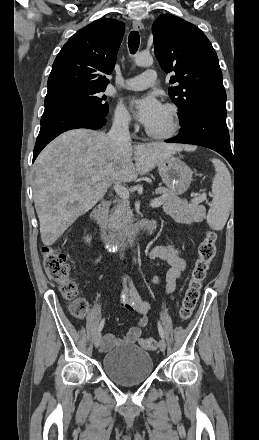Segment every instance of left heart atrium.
<instances>
[{
	"mask_svg": "<svg viewBox=\"0 0 259 440\" xmlns=\"http://www.w3.org/2000/svg\"><path fill=\"white\" fill-rule=\"evenodd\" d=\"M130 105L136 119L146 127L152 125L160 117L164 108L153 95L132 98Z\"/></svg>",
	"mask_w": 259,
	"mask_h": 440,
	"instance_id": "obj_1",
	"label": "left heart atrium"
}]
</instances>
